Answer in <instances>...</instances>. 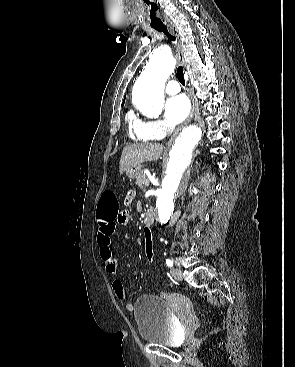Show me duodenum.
Listing matches in <instances>:
<instances>
[{"instance_id": "1", "label": "duodenum", "mask_w": 295, "mask_h": 367, "mask_svg": "<svg viewBox=\"0 0 295 367\" xmlns=\"http://www.w3.org/2000/svg\"><path fill=\"white\" fill-rule=\"evenodd\" d=\"M154 222V211L148 208L144 214V224H152Z\"/></svg>"}]
</instances>
